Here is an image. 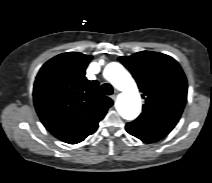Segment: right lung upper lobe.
<instances>
[{
  "mask_svg": "<svg viewBox=\"0 0 212 183\" xmlns=\"http://www.w3.org/2000/svg\"><path fill=\"white\" fill-rule=\"evenodd\" d=\"M92 59L78 52L57 55L40 69L33 89L36 111L56 138L76 144L94 133L113 101L85 77Z\"/></svg>",
  "mask_w": 212,
  "mask_h": 183,
  "instance_id": "cb5924a9",
  "label": "right lung upper lobe"
}]
</instances>
